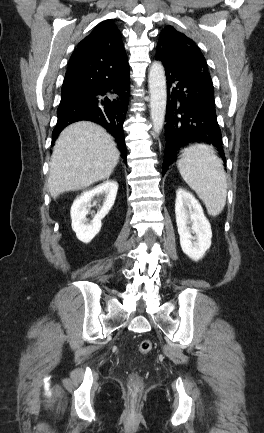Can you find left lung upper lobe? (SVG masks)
<instances>
[{"mask_svg": "<svg viewBox=\"0 0 264 433\" xmlns=\"http://www.w3.org/2000/svg\"><path fill=\"white\" fill-rule=\"evenodd\" d=\"M156 57L180 70L209 75L206 60L195 42L172 26L160 33Z\"/></svg>", "mask_w": 264, "mask_h": 433, "instance_id": "obj_1", "label": "left lung upper lobe"}]
</instances>
